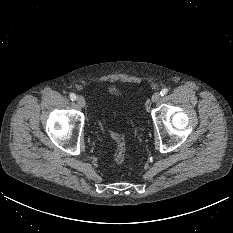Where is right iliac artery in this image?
<instances>
[{"instance_id":"82829eb1","label":"right iliac artery","mask_w":233,"mask_h":233,"mask_svg":"<svg viewBox=\"0 0 233 233\" xmlns=\"http://www.w3.org/2000/svg\"><path fill=\"white\" fill-rule=\"evenodd\" d=\"M70 99L72 100V101H75L76 100V95L74 94V93H70Z\"/></svg>"}]
</instances>
